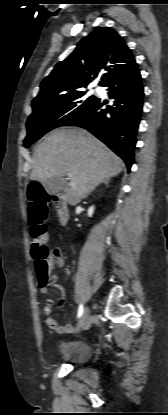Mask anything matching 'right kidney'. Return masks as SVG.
Returning a JSON list of instances; mask_svg holds the SVG:
<instances>
[{
  "label": "right kidney",
  "instance_id": "ca27d5eb",
  "mask_svg": "<svg viewBox=\"0 0 168 415\" xmlns=\"http://www.w3.org/2000/svg\"><path fill=\"white\" fill-rule=\"evenodd\" d=\"M94 212V206H91L88 210V216L91 217L93 215Z\"/></svg>",
  "mask_w": 168,
  "mask_h": 415
}]
</instances>
